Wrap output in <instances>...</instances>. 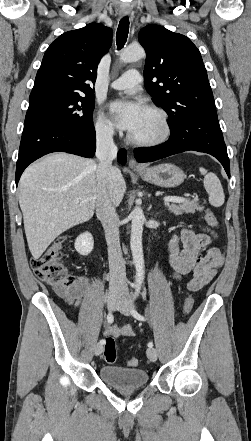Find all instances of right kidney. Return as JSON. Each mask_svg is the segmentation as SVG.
<instances>
[{"label": "right kidney", "mask_w": 251, "mask_h": 441, "mask_svg": "<svg viewBox=\"0 0 251 441\" xmlns=\"http://www.w3.org/2000/svg\"><path fill=\"white\" fill-rule=\"evenodd\" d=\"M76 251L83 256H87L91 253L94 247L93 236L89 232L80 234L75 240Z\"/></svg>", "instance_id": "right-kidney-1"}]
</instances>
